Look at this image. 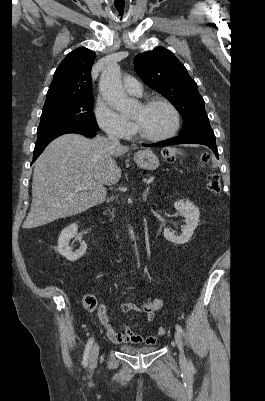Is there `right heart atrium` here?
Instances as JSON below:
<instances>
[{
    "mask_svg": "<svg viewBox=\"0 0 265 401\" xmlns=\"http://www.w3.org/2000/svg\"><path fill=\"white\" fill-rule=\"evenodd\" d=\"M95 119L101 130L112 138H127L134 133L131 122L124 120L105 100H98Z\"/></svg>",
    "mask_w": 265,
    "mask_h": 401,
    "instance_id": "right-heart-atrium-1",
    "label": "right heart atrium"
}]
</instances>
